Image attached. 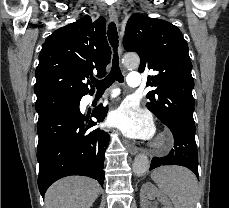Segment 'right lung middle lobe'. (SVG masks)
<instances>
[{"label": "right lung middle lobe", "mask_w": 229, "mask_h": 208, "mask_svg": "<svg viewBox=\"0 0 229 208\" xmlns=\"http://www.w3.org/2000/svg\"><path fill=\"white\" fill-rule=\"evenodd\" d=\"M81 98L78 97H53L36 102V111L39 114L38 125L42 124L56 113L78 106Z\"/></svg>", "instance_id": "1"}]
</instances>
